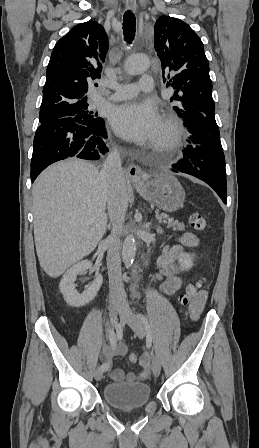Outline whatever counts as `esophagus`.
Wrapping results in <instances>:
<instances>
[{"instance_id": "obj_1", "label": "esophagus", "mask_w": 259, "mask_h": 448, "mask_svg": "<svg viewBox=\"0 0 259 448\" xmlns=\"http://www.w3.org/2000/svg\"><path fill=\"white\" fill-rule=\"evenodd\" d=\"M126 6L129 10L135 11L137 6L136 0H126ZM128 174L130 176L132 183L134 184L141 183L144 177V172L138 165L135 164H131L128 167Z\"/></svg>"}]
</instances>
